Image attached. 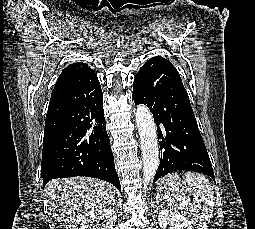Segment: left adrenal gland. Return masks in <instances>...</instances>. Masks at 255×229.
Listing matches in <instances>:
<instances>
[{"label": "left adrenal gland", "mask_w": 255, "mask_h": 229, "mask_svg": "<svg viewBox=\"0 0 255 229\" xmlns=\"http://www.w3.org/2000/svg\"><path fill=\"white\" fill-rule=\"evenodd\" d=\"M161 199H159V200H157V204L159 205V201H160Z\"/></svg>", "instance_id": "obj_1"}]
</instances>
